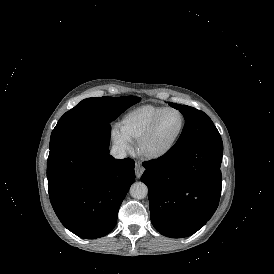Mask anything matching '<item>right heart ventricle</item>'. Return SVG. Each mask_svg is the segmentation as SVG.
<instances>
[{
    "label": "right heart ventricle",
    "mask_w": 274,
    "mask_h": 274,
    "mask_svg": "<svg viewBox=\"0 0 274 274\" xmlns=\"http://www.w3.org/2000/svg\"><path fill=\"white\" fill-rule=\"evenodd\" d=\"M163 109L162 106L152 104L134 107L122 115L117 125L118 129L129 142H135Z\"/></svg>",
    "instance_id": "e07e8e85"
}]
</instances>
